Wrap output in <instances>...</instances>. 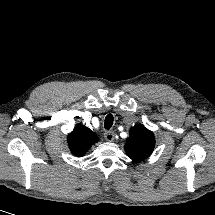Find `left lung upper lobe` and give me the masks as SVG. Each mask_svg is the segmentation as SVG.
Wrapping results in <instances>:
<instances>
[{
    "mask_svg": "<svg viewBox=\"0 0 215 215\" xmlns=\"http://www.w3.org/2000/svg\"><path fill=\"white\" fill-rule=\"evenodd\" d=\"M129 135L124 146L127 155L135 162H141L148 158L155 146L153 132L143 125L137 124L130 129Z\"/></svg>",
    "mask_w": 215,
    "mask_h": 215,
    "instance_id": "left-lung-upper-lobe-1",
    "label": "left lung upper lobe"
}]
</instances>
